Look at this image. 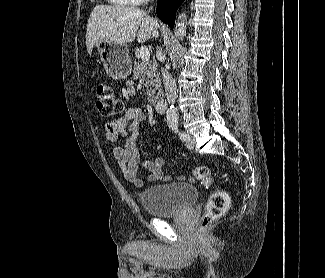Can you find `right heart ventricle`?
I'll list each match as a JSON object with an SVG mask.
<instances>
[{"mask_svg":"<svg viewBox=\"0 0 325 278\" xmlns=\"http://www.w3.org/2000/svg\"><path fill=\"white\" fill-rule=\"evenodd\" d=\"M119 6H134L136 5L134 0H108Z\"/></svg>","mask_w":325,"mask_h":278,"instance_id":"e07e8e85","label":"right heart ventricle"}]
</instances>
